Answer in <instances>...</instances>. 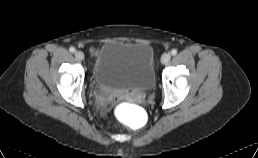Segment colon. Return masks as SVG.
<instances>
[{
    "mask_svg": "<svg viewBox=\"0 0 258 158\" xmlns=\"http://www.w3.org/2000/svg\"><path fill=\"white\" fill-rule=\"evenodd\" d=\"M122 107H123V105H122V104H117V105H116V108H115L116 113H118V114H119V113L121 112Z\"/></svg>",
    "mask_w": 258,
    "mask_h": 158,
    "instance_id": "5ec220e1",
    "label": "colon"
}]
</instances>
